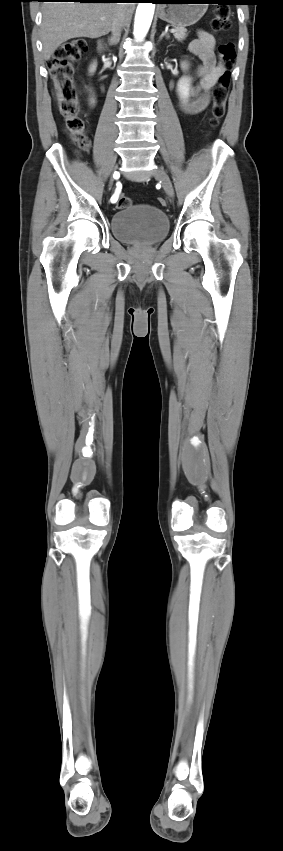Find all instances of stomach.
<instances>
[{
  "label": "stomach",
  "mask_w": 283,
  "mask_h": 851,
  "mask_svg": "<svg viewBox=\"0 0 283 851\" xmlns=\"http://www.w3.org/2000/svg\"><path fill=\"white\" fill-rule=\"evenodd\" d=\"M208 0H163L158 16L173 26L186 27L198 22L207 10Z\"/></svg>",
  "instance_id": "0dacf381"
}]
</instances>
